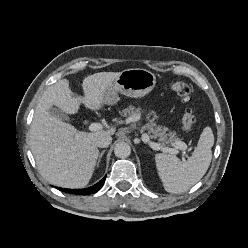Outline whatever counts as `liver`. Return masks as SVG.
<instances>
[{
    "label": "liver",
    "mask_w": 248,
    "mask_h": 248,
    "mask_svg": "<svg viewBox=\"0 0 248 248\" xmlns=\"http://www.w3.org/2000/svg\"><path fill=\"white\" fill-rule=\"evenodd\" d=\"M120 72H100L82 82L84 97L75 95L67 79L49 86L39 99L30 128V146L40 174L51 184L63 188H82L90 181L99 151L97 137L115 133L107 131L80 132L71 124L50 114L57 106L67 114L78 112L80 104L98 110L104 105L103 94Z\"/></svg>",
    "instance_id": "obj_1"
}]
</instances>
